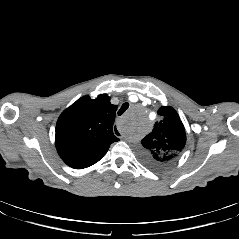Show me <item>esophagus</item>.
<instances>
[{
  "label": "esophagus",
  "mask_w": 239,
  "mask_h": 239,
  "mask_svg": "<svg viewBox=\"0 0 239 239\" xmlns=\"http://www.w3.org/2000/svg\"><path fill=\"white\" fill-rule=\"evenodd\" d=\"M113 134L116 136V137H120L122 135V132L120 131V126L118 124H115L113 126Z\"/></svg>",
  "instance_id": "1"
}]
</instances>
